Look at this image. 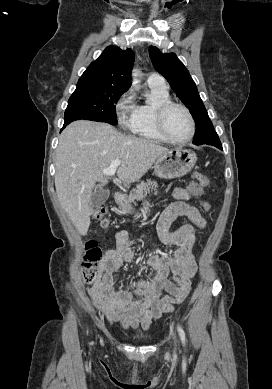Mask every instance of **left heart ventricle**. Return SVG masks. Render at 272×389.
I'll use <instances>...</instances> for the list:
<instances>
[{
	"label": "left heart ventricle",
	"mask_w": 272,
	"mask_h": 389,
	"mask_svg": "<svg viewBox=\"0 0 272 389\" xmlns=\"http://www.w3.org/2000/svg\"><path fill=\"white\" fill-rule=\"evenodd\" d=\"M165 127L169 135L175 139H184L191 131L186 113L178 107H173L167 112Z\"/></svg>",
	"instance_id": "b2bd125f"
}]
</instances>
